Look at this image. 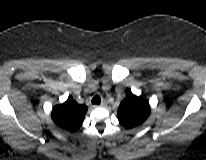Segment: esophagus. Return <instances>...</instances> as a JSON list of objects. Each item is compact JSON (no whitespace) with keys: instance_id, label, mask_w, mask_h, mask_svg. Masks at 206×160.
I'll return each instance as SVG.
<instances>
[{"instance_id":"obj_1","label":"esophagus","mask_w":206,"mask_h":160,"mask_svg":"<svg viewBox=\"0 0 206 160\" xmlns=\"http://www.w3.org/2000/svg\"><path fill=\"white\" fill-rule=\"evenodd\" d=\"M99 106H100V107H105V106H106V102L103 101Z\"/></svg>"}]
</instances>
